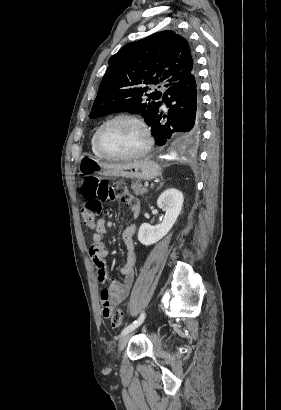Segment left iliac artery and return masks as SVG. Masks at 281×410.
Wrapping results in <instances>:
<instances>
[{"instance_id": "44dca946", "label": "left iliac artery", "mask_w": 281, "mask_h": 410, "mask_svg": "<svg viewBox=\"0 0 281 410\" xmlns=\"http://www.w3.org/2000/svg\"><path fill=\"white\" fill-rule=\"evenodd\" d=\"M144 318H145V313H142V314L140 315V317H139L136 321H134L133 323L129 324L127 327H125V328L123 329V331L121 332V335H124V334H126V333L132 331V330L135 329L136 327H138V326L142 323V321L144 320Z\"/></svg>"}]
</instances>
